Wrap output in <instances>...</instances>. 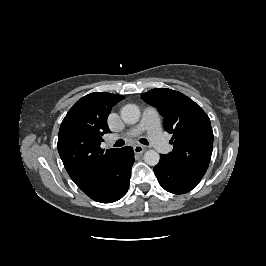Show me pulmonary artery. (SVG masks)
<instances>
[{
    "label": "pulmonary artery",
    "mask_w": 266,
    "mask_h": 266,
    "mask_svg": "<svg viewBox=\"0 0 266 266\" xmlns=\"http://www.w3.org/2000/svg\"><path fill=\"white\" fill-rule=\"evenodd\" d=\"M142 131L147 132L148 138L156 150L164 152L169 147L162 132L159 114L152 107H147L143 112L140 123L133 129L124 133L123 136H137ZM115 138H117V135L111 137L112 140Z\"/></svg>",
    "instance_id": "e3ab8cb5"
}]
</instances>
